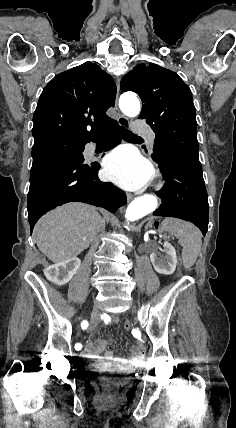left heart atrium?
Masks as SVG:
<instances>
[{
  "label": "left heart atrium",
  "mask_w": 236,
  "mask_h": 428,
  "mask_svg": "<svg viewBox=\"0 0 236 428\" xmlns=\"http://www.w3.org/2000/svg\"><path fill=\"white\" fill-rule=\"evenodd\" d=\"M104 175L125 189L138 190L148 181L150 168L133 149L122 147L105 159Z\"/></svg>",
  "instance_id": "1"
}]
</instances>
